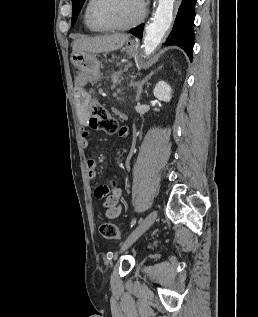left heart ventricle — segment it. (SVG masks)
<instances>
[{"label": "left heart ventricle", "instance_id": "1", "mask_svg": "<svg viewBox=\"0 0 258 317\" xmlns=\"http://www.w3.org/2000/svg\"><path fill=\"white\" fill-rule=\"evenodd\" d=\"M139 8L133 0H102L92 11L94 19L104 26H130L137 19Z\"/></svg>", "mask_w": 258, "mask_h": 317}]
</instances>
